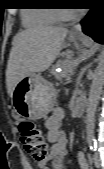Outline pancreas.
I'll use <instances>...</instances> for the list:
<instances>
[{"mask_svg": "<svg viewBox=\"0 0 104 169\" xmlns=\"http://www.w3.org/2000/svg\"><path fill=\"white\" fill-rule=\"evenodd\" d=\"M62 72L61 73H56V78L61 80L65 77H67L69 74L73 73L75 66L73 65L71 60H66L62 63Z\"/></svg>", "mask_w": 104, "mask_h": 169, "instance_id": "obj_1", "label": "pancreas"}]
</instances>
